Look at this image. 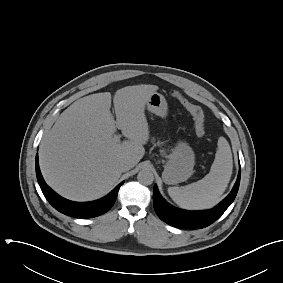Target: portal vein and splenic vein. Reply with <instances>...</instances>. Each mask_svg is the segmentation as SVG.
I'll return each mask as SVG.
<instances>
[{
	"label": "portal vein and splenic vein",
	"instance_id": "18ae733b",
	"mask_svg": "<svg viewBox=\"0 0 283 283\" xmlns=\"http://www.w3.org/2000/svg\"><path fill=\"white\" fill-rule=\"evenodd\" d=\"M115 139H116V140H119V139H120V136H119V135H115Z\"/></svg>",
	"mask_w": 283,
	"mask_h": 283
}]
</instances>
